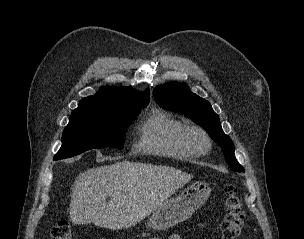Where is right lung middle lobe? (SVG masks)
Wrapping results in <instances>:
<instances>
[{"label":"right lung middle lobe","instance_id":"obj_1","mask_svg":"<svg viewBox=\"0 0 304 239\" xmlns=\"http://www.w3.org/2000/svg\"><path fill=\"white\" fill-rule=\"evenodd\" d=\"M142 108L129 107L117 113L72 114L54 160L106 146L122 149L124 133Z\"/></svg>","mask_w":304,"mask_h":239}]
</instances>
